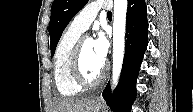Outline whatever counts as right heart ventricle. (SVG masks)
<instances>
[{
	"instance_id": "1",
	"label": "right heart ventricle",
	"mask_w": 193,
	"mask_h": 112,
	"mask_svg": "<svg viewBox=\"0 0 193 112\" xmlns=\"http://www.w3.org/2000/svg\"><path fill=\"white\" fill-rule=\"evenodd\" d=\"M80 35L81 32L69 26L60 37L54 53L55 84L65 97L76 96L82 91V87L73 80L70 69L72 52Z\"/></svg>"
}]
</instances>
